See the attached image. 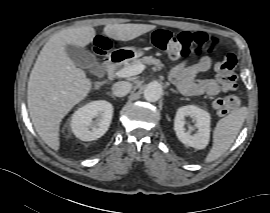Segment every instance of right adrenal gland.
I'll return each instance as SVG.
<instances>
[{
  "label": "right adrenal gland",
  "mask_w": 270,
  "mask_h": 213,
  "mask_svg": "<svg viewBox=\"0 0 270 213\" xmlns=\"http://www.w3.org/2000/svg\"><path fill=\"white\" fill-rule=\"evenodd\" d=\"M110 96H111L113 99H115V96H114L113 93H110Z\"/></svg>",
  "instance_id": "1"
}]
</instances>
